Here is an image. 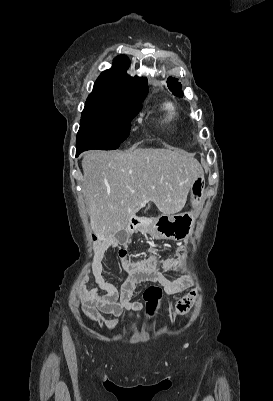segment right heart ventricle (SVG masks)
I'll use <instances>...</instances> for the list:
<instances>
[{
  "label": "right heart ventricle",
  "instance_id": "e07e8e85",
  "mask_svg": "<svg viewBox=\"0 0 273 401\" xmlns=\"http://www.w3.org/2000/svg\"><path fill=\"white\" fill-rule=\"evenodd\" d=\"M160 110L163 114V124L166 126L184 129L185 123L179 117L178 105L170 100L161 103Z\"/></svg>",
  "mask_w": 273,
  "mask_h": 401
}]
</instances>
